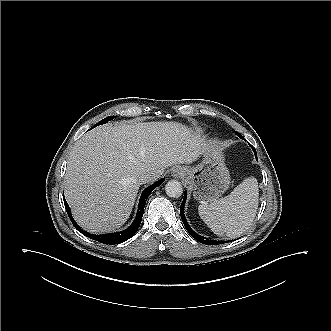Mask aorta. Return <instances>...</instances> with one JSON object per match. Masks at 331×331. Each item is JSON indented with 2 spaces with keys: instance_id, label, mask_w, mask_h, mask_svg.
Listing matches in <instances>:
<instances>
[{
  "instance_id": "aorta-1",
  "label": "aorta",
  "mask_w": 331,
  "mask_h": 331,
  "mask_svg": "<svg viewBox=\"0 0 331 331\" xmlns=\"http://www.w3.org/2000/svg\"><path fill=\"white\" fill-rule=\"evenodd\" d=\"M166 194L171 198H179L183 194V187L180 182L170 180L165 185Z\"/></svg>"
}]
</instances>
